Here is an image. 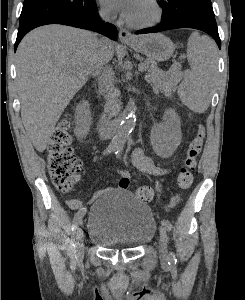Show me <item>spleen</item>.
<instances>
[{
  "label": "spleen",
  "mask_w": 245,
  "mask_h": 300,
  "mask_svg": "<svg viewBox=\"0 0 245 300\" xmlns=\"http://www.w3.org/2000/svg\"><path fill=\"white\" fill-rule=\"evenodd\" d=\"M187 59L191 70L181 83L178 94L189 109L205 112L210 104L217 69V49L208 37L192 33L187 44Z\"/></svg>",
  "instance_id": "1"
}]
</instances>
